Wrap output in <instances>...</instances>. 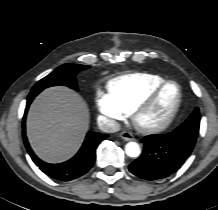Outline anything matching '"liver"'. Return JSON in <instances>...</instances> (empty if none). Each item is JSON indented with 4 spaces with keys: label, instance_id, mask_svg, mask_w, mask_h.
Here are the masks:
<instances>
[{
    "label": "liver",
    "instance_id": "obj_1",
    "mask_svg": "<svg viewBox=\"0 0 218 210\" xmlns=\"http://www.w3.org/2000/svg\"><path fill=\"white\" fill-rule=\"evenodd\" d=\"M88 106L73 90L57 86L44 90L27 116V136L44 161L58 163L80 148L89 127Z\"/></svg>",
    "mask_w": 218,
    "mask_h": 210
}]
</instances>
